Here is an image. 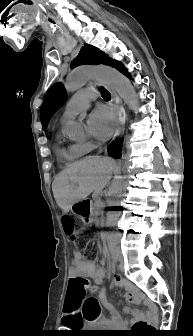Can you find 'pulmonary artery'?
Listing matches in <instances>:
<instances>
[{
  "label": "pulmonary artery",
  "instance_id": "1",
  "mask_svg": "<svg viewBox=\"0 0 193 336\" xmlns=\"http://www.w3.org/2000/svg\"><path fill=\"white\" fill-rule=\"evenodd\" d=\"M96 97L97 94L92 89H85L75 93L64 108L61 122L65 123L66 121L87 110L90 106V101Z\"/></svg>",
  "mask_w": 193,
  "mask_h": 336
}]
</instances>
